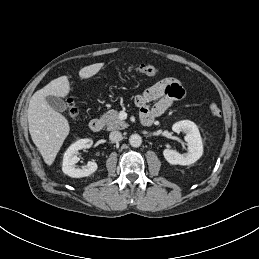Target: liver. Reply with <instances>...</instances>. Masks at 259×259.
Wrapping results in <instances>:
<instances>
[{
    "label": "liver",
    "instance_id": "obj_1",
    "mask_svg": "<svg viewBox=\"0 0 259 259\" xmlns=\"http://www.w3.org/2000/svg\"><path fill=\"white\" fill-rule=\"evenodd\" d=\"M104 63H96L82 68L79 76L87 79L97 74ZM71 88L67 76L52 80L36 91L30 99L27 111L29 132L45 163L51 165L69 134L68 120L49 106L47 96L65 97Z\"/></svg>",
    "mask_w": 259,
    "mask_h": 259
}]
</instances>
